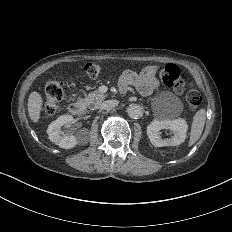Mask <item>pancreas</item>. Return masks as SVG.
I'll use <instances>...</instances> for the list:
<instances>
[{"label": "pancreas", "mask_w": 232, "mask_h": 232, "mask_svg": "<svg viewBox=\"0 0 232 232\" xmlns=\"http://www.w3.org/2000/svg\"><path fill=\"white\" fill-rule=\"evenodd\" d=\"M105 97V94H102L98 91H93L89 93L88 96L85 97V99H81L79 101L83 102L84 105L89 109L94 110L99 107V105L102 103Z\"/></svg>", "instance_id": "cf45deb5"}]
</instances>
